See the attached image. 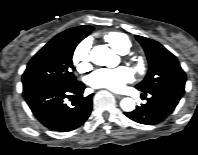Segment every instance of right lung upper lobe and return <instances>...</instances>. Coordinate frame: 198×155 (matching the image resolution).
Wrapping results in <instances>:
<instances>
[{"instance_id": "cb5924a9", "label": "right lung upper lobe", "mask_w": 198, "mask_h": 155, "mask_svg": "<svg viewBox=\"0 0 198 155\" xmlns=\"http://www.w3.org/2000/svg\"><path fill=\"white\" fill-rule=\"evenodd\" d=\"M90 28L91 26H79V27L71 28V29L61 32L60 34L57 35V37L65 36V35L76 33V32L86 31Z\"/></svg>"}]
</instances>
